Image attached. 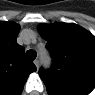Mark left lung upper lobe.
I'll list each match as a JSON object with an SVG mask.
<instances>
[{"instance_id":"left-lung-upper-lobe-1","label":"left lung upper lobe","mask_w":95,"mask_h":95,"mask_svg":"<svg viewBox=\"0 0 95 95\" xmlns=\"http://www.w3.org/2000/svg\"><path fill=\"white\" fill-rule=\"evenodd\" d=\"M53 65L39 75L50 95H87L95 87V38L76 24L41 25Z\"/></svg>"}]
</instances>
